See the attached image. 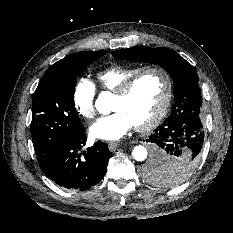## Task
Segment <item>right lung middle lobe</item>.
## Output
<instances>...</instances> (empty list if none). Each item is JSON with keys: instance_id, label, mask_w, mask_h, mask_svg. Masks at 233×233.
<instances>
[{"instance_id": "1", "label": "right lung middle lobe", "mask_w": 233, "mask_h": 233, "mask_svg": "<svg viewBox=\"0 0 233 233\" xmlns=\"http://www.w3.org/2000/svg\"><path fill=\"white\" fill-rule=\"evenodd\" d=\"M106 51L78 52L70 62L46 71L32 102L31 135L40 167L45 166L69 137L81 130L74 105L76 77Z\"/></svg>"}]
</instances>
